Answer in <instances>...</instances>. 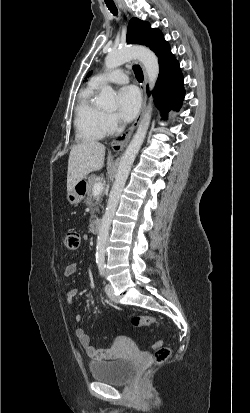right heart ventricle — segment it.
<instances>
[{
    "mask_svg": "<svg viewBox=\"0 0 250 413\" xmlns=\"http://www.w3.org/2000/svg\"><path fill=\"white\" fill-rule=\"evenodd\" d=\"M98 87L91 81L80 92L74 121L76 138L80 141H95L104 136V111L93 102Z\"/></svg>",
    "mask_w": 250,
    "mask_h": 413,
    "instance_id": "right-heart-ventricle-1",
    "label": "right heart ventricle"
}]
</instances>
